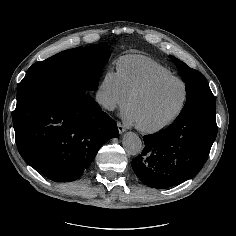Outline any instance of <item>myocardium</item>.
Listing matches in <instances>:
<instances>
[{
    "instance_id": "f54148a6",
    "label": "myocardium",
    "mask_w": 236,
    "mask_h": 236,
    "mask_svg": "<svg viewBox=\"0 0 236 236\" xmlns=\"http://www.w3.org/2000/svg\"><path fill=\"white\" fill-rule=\"evenodd\" d=\"M167 81H178L183 85L184 92H183V98H182L181 104H180L179 108L176 110V112L171 117H169L165 121L158 123L154 126L147 127V126H143L141 124L135 123L137 129L143 133L153 134V133H157L159 131H162V130L166 129L167 127H169L170 125H172L181 116V114L183 113V111L186 107L187 100H188V94H189L188 85L185 82V80L179 76H176V75L161 76V77H157V78L151 80L150 82H148L147 84H145L141 88L134 91L129 96L128 107L130 108L131 104L137 98L146 95L151 90H153L155 87H157L161 83H164Z\"/></svg>"
}]
</instances>
